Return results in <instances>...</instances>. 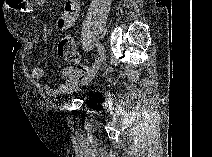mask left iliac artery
Returning <instances> with one entry per match:
<instances>
[{"mask_svg":"<svg viewBox=\"0 0 212 157\" xmlns=\"http://www.w3.org/2000/svg\"><path fill=\"white\" fill-rule=\"evenodd\" d=\"M97 51L100 56L105 54L104 46L101 43H97Z\"/></svg>","mask_w":212,"mask_h":157,"instance_id":"44dca946","label":"left iliac artery"}]
</instances>
